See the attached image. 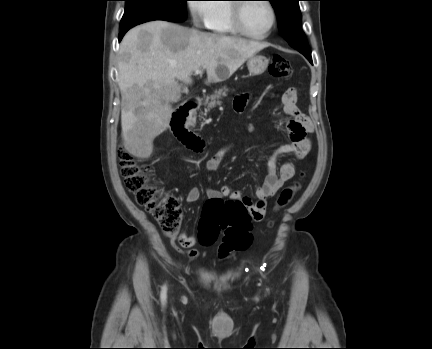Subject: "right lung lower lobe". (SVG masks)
Masks as SVG:
<instances>
[{"label": "right lung lower lobe", "instance_id": "obj_1", "mask_svg": "<svg viewBox=\"0 0 432 349\" xmlns=\"http://www.w3.org/2000/svg\"><path fill=\"white\" fill-rule=\"evenodd\" d=\"M129 29H130V28H127V29H123V30H121V32H120V34H119V37H118L119 41H121V39L123 38L124 34H125Z\"/></svg>", "mask_w": 432, "mask_h": 349}]
</instances>
